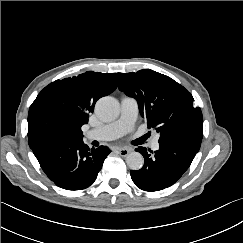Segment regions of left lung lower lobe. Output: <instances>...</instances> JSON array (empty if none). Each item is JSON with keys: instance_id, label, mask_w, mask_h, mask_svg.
I'll return each instance as SVG.
<instances>
[{"instance_id": "0a47b994", "label": "left lung lower lobe", "mask_w": 243, "mask_h": 243, "mask_svg": "<svg viewBox=\"0 0 243 243\" xmlns=\"http://www.w3.org/2000/svg\"><path fill=\"white\" fill-rule=\"evenodd\" d=\"M203 134L184 133L159 142V150L149 152L139 147L136 151L144 156V166L140 170H131L130 175L140 189L159 191L173 185L191 165L200 149Z\"/></svg>"}]
</instances>
